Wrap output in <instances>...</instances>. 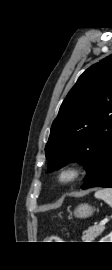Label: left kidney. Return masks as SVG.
Returning a JSON list of instances; mask_svg holds the SVG:
<instances>
[{"label":"left kidney","instance_id":"1","mask_svg":"<svg viewBox=\"0 0 112 270\" xmlns=\"http://www.w3.org/2000/svg\"><path fill=\"white\" fill-rule=\"evenodd\" d=\"M100 242H112V232L106 237H104Z\"/></svg>","mask_w":112,"mask_h":270}]
</instances>
